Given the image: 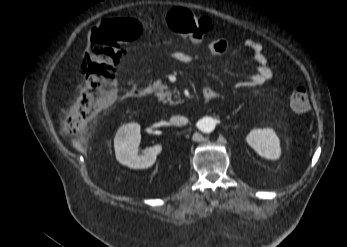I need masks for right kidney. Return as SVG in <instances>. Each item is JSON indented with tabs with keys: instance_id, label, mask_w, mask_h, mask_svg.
I'll list each match as a JSON object with an SVG mask.
<instances>
[{
	"instance_id": "right-kidney-1",
	"label": "right kidney",
	"mask_w": 347,
	"mask_h": 247,
	"mask_svg": "<svg viewBox=\"0 0 347 247\" xmlns=\"http://www.w3.org/2000/svg\"><path fill=\"white\" fill-rule=\"evenodd\" d=\"M141 140L140 125L128 123L119 128L114 139V148L117 161L132 169H145L151 167L157 155L161 152V144L147 148L139 153Z\"/></svg>"
}]
</instances>
